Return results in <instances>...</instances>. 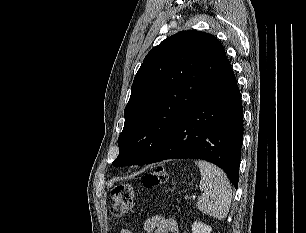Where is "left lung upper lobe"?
Masks as SVG:
<instances>
[{
    "mask_svg": "<svg viewBox=\"0 0 306 233\" xmlns=\"http://www.w3.org/2000/svg\"><path fill=\"white\" fill-rule=\"evenodd\" d=\"M226 62L219 40L196 30L152 48L134 78L113 165L146 164Z\"/></svg>",
    "mask_w": 306,
    "mask_h": 233,
    "instance_id": "1",
    "label": "left lung upper lobe"
}]
</instances>
